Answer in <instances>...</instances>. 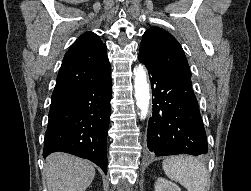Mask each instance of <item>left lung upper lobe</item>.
<instances>
[{"label":"left lung upper lobe","instance_id":"obj_1","mask_svg":"<svg viewBox=\"0 0 251 191\" xmlns=\"http://www.w3.org/2000/svg\"><path fill=\"white\" fill-rule=\"evenodd\" d=\"M139 55L172 75L191 79L181 45L170 33L159 27L153 26L143 34Z\"/></svg>","mask_w":251,"mask_h":191}]
</instances>
